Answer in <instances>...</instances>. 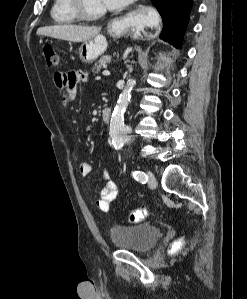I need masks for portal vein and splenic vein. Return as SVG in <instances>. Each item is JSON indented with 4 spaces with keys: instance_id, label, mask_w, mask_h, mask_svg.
<instances>
[{
    "instance_id": "portal-vein-and-splenic-vein-1",
    "label": "portal vein and splenic vein",
    "mask_w": 247,
    "mask_h": 299,
    "mask_svg": "<svg viewBox=\"0 0 247 299\" xmlns=\"http://www.w3.org/2000/svg\"><path fill=\"white\" fill-rule=\"evenodd\" d=\"M102 74H103V75H110V72H109L108 70H104V71L102 72Z\"/></svg>"
}]
</instances>
